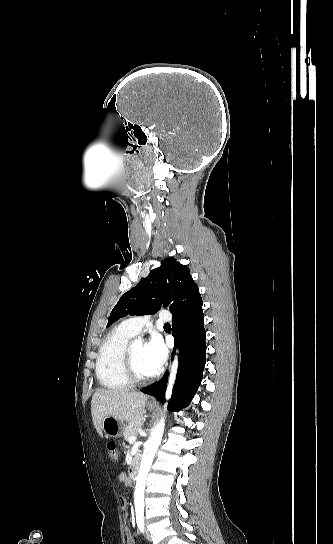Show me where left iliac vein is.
I'll return each instance as SVG.
<instances>
[{
    "instance_id": "obj_1",
    "label": "left iliac vein",
    "mask_w": 333,
    "mask_h": 544,
    "mask_svg": "<svg viewBox=\"0 0 333 544\" xmlns=\"http://www.w3.org/2000/svg\"><path fill=\"white\" fill-rule=\"evenodd\" d=\"M145 533H146V538L150 541L151 540V535H150V532L148 531V529H145Z\"/></svg>"
}]
</instances>
